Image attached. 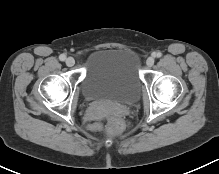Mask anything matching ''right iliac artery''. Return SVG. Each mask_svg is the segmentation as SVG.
Instances as JSON below:
<instances>
[{
	"label": "right iliac artery",
	"instance_id": "1",
	"mask_svg": "<svg viewBox=\"0 0 219 174\" xmlns=\"http://www.w3.org/2000/svg\"><path fill=\"white\" fill-rule=\"evenodd\" d=\"M59 59H60L61 61H64V60L66 59V55L61 54V55L59 56Z\"/></svg>",
	"mask_w": 219,
	"mask_h": 174
}]
</instances>
